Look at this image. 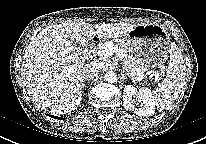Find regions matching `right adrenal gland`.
Instances as JSON below:
<instances>
[{
  "mask_svg": "<svg viewBox=\"0 0 206 144\" xmlns=\"http://www.w3.org/2000/svg\"><path fill=\"white\" fill-rule=\"evenodd\" d=\"M86 80L89 81V80H92V79H89V78H88V79H86ZM84 88L86 89L85 84H83V89H84Z\"/></svg>",
  "mask_w": 206,
  "mask_h": 144,
  "instance_id": "obj_1",
  "label": "right adrenal gland"
}]
</instances>
